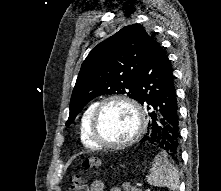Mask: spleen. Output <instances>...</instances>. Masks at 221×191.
Returning <instances> with one entry per match:
<instances>
[{"label":"spleen","instance_id":"3e777b00","mask_svg":"<svg viewBox=\"0 0 221 191\" xmlns=\"http://www.w3.org/2000/svg\"><path fill=\"white\" fill-rule=\"evenodd\" d=\"M147 180L154 187H167L171 191H177L179 188L178 170L169 162L165 152L155 156Z\"/></svg>","mask_w":221,"mask_h":191}]
</instances>
